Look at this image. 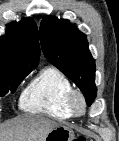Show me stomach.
<instances>
[{
  "mask_svg": "<svg viewBox=\"0 0 119 141\" xmlns=\"http://www.w3.org/2000/svg\"><path fill=\"white\" fill-rule=\"evenodd\" d=\"M75 140L74 131L65 125H60L51 130L44 141H73Z\"/></svg>",
  "mask_w": 119,
  "mask_h": 141,
  "instance_id": "obj_1",
  "label": "stomach"
}]
</instances>
